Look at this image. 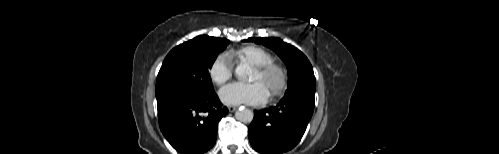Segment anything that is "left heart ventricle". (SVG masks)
Instances as JSON below:
<instances>
[{"label":"left heart ventricle","mask_w":499,"mask_h":154,"mask_svg":"<svg viewBox=\"0 0 499 154\" xmlns=\"http://www.w3.org/2000/svg\"><path fill=\"white\" fill-rule=\"evenodd\" d=\"M250 80L253 82L255 81L261 82L265 86L267 92L269 93L273 84L276 82V76H272L268 79H265L262 76H260V74L256 70H254L250 77Z\"/></svg>","instance_id":"b2bd125f"}]
</instances>
